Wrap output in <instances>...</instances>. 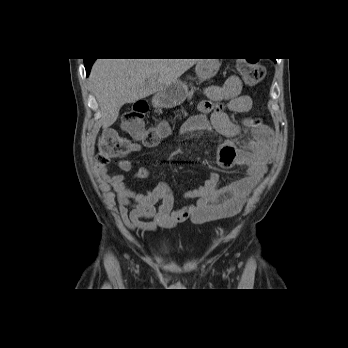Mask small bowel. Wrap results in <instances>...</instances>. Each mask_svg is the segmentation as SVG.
Wrapping results in <instances>:
<instances>
[{
  "label": "small bowel",
  "mask_w": 348,
  "mask_h": 348,
  "mask_svg": "<svg viewBox=\"0 0 348 348\" xmlns=\"http://www.w3.org/2000/svg\"><path fill=\"white\" fill-rule=\"evenodd\" d=\"M204 93L206 100L200 102L199 114L184 122L180 134L185 136L212 127L220 136L232 138L238 136L243 127L248 128L251 137L244 148H237L230 141H224L219 145L217 153L221 166L244 167V175L231 185L221 188L218 175L211 173L202 185L185 190V198L193 200V203L174 209V193L167 183L162 182L153 190L139 193L125 183L121 173H110L109 167L99 166L101 177L116 192L121 218L128 229L153 232L158 228H171L188 218L195 224H203L233 217L242 209L252 189L265 175L267 164L273 156V131L249 119L241 124L234 122L227 114V111L243 114L252 108L251 97L242 93L240 79L232 75L223 85L206 87ZM142 149V144L133 143L129 152ZM117 166L122 171H130L132 168L131 162L126 159L120 160ZM150 173L149 167H142L135 177L144 178Z\"/></svg>",
  "instance_id": "c3829d8e"
}]
</instances>
